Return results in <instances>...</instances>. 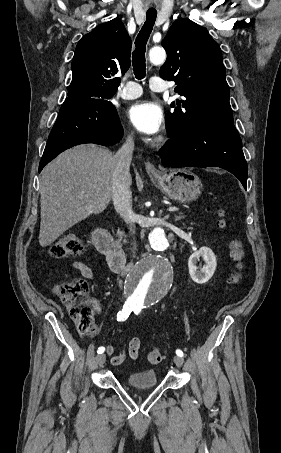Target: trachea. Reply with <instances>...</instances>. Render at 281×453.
I'll use <instances>...</instances> for the list:
<instances>
[{"mask_svg":"<svg viewBox=\"0 0 281 453\" xmlns=\"http://www.w3.org/2000/svg\"><path fill=\"white\" fill-rule=\"evenodd\" d=\"M157 12H147L146 21L137 35L135 40V50L132 54V65L135 77L141 80L146 75L145 52L146 44L149 39L150 33L153 30L156 21Z\"/></svg>","mask_w":281,"mask_h":453,"instance_id":"trachea-1","label":"trachea"}]
</instances>
